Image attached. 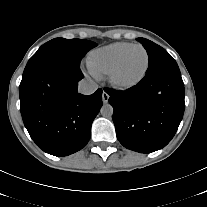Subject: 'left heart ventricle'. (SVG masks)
<instances>
[{"instance_id": "left-heart-ventricle-1", "label": "left heart ventricle", "mask_w": 207, "mask_h": 207, "mask_svg": "<svg viewBox=\"0 0 207 207\" xmlns=\"http://www.w3.org/2000/svg\"><path fill=\"white\" fill-rule=\"evenodd\" d=\"M146 56L141 48H134L124 60L119 72L118 79L131 81L137 78L144 69Z\"/></svg>"}]
</instances>
